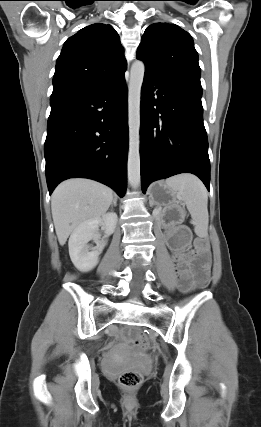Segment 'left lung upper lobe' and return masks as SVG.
<instances>
[{
	"mask_svg": "<svg viewBox=\"0 0 261 427\" xmlns=\"http://www.w3.org/2000/svg\"><path fill=\"white\" fill-rule=\"evenodd\" d=\"M145 72L201 85L198 54L191 35L174 24L156 23L144 32L137 50Z\"/></svg>",
	"mask_w": 261,
	"mask_h": 427,
	"instance_id": "5c2ea615",
	"label": "left lung upper lobe"
}]
</instances>
